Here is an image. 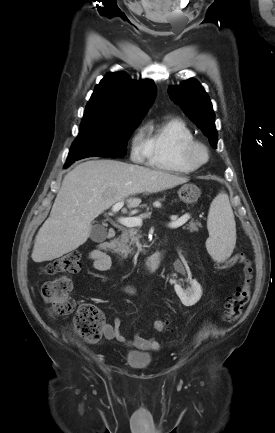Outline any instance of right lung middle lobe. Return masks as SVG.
Instances as JSON below:
<instances>
[{"label": "right lung middle lobe", "instance_id": "dd1d6c3e", "mask_svg": "<svg viewBox=\"0 0 275 433\" xmlns=\"http://www.w3.org/2000/svg\"><path fill=\"white\" fill-rule=\"evenodd\" d=\"M139 123L140 121L117 124L82 122L80 133L71 146L64 168L87 157H124L127 140Z\"/></svg>", "mask_w": 275, "mask_h": 433}]
</instances>
